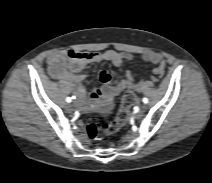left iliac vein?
Masks as SVG:
<instances>
[{
	"instance_id": "1",
	"label": "left iliac vein",
	"mask_w": 212,
	"mask_h": 183,
	"mask_svg": "<svg viewBox=\"0 0 212 183\" xmlns=\"http://www.w3.org/2000/svg\"><path fill=\"white\" fill-rule=\"evenodd\" d=\"M147 109V106L146 105H143L142 107H141V111H145Z\"/></svg>"
}]
</instances>
